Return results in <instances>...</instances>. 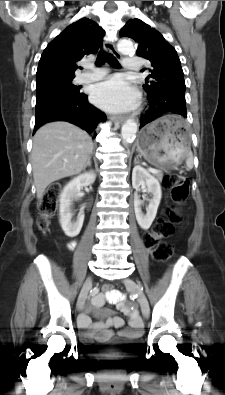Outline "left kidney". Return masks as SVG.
<instances>
[{
  "instance_id": "left-kidney-1",
  "label": "left kidney",
  "mask_w": 225,
  "mask_h": 395,
  "mask_svg": "<svg viewBox=\"0 0 225 395\" xmlns=\"http://www.w3.org/2000/svg\"><path fill=\"white\" fill-rule=\"evenodd\" d=\"M132 186L136 191L139 190L140 186H146L147 191L152 194V199L149 200V206L145 215L141 209L142 201L140 200L137 192L134 194L136 220L142 229L147 230L150 228L156 217L157 209L161 201L162 191L160 183L157 178L151 175L143 167L135 166L132 171Z\"/></svg>"
}]
</instances>
